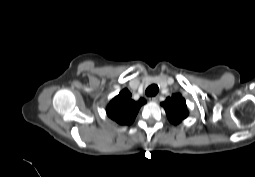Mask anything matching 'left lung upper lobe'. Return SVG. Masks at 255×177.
I'll return each mask as SVG.
<instances>
[{
    "label": "left lung upper lobe",
    "mask_w": 255,
    "mask_h": 177,
    "mask_svg": "<svg viewBox=\"0 0 255 177\" xmlns=\"http://www.w3.org/2000/svg\"><path fill=\"white\" fill-rule=\"evenodd\" d=\"M167 114L168 120L173 124H179L189 115L186 101L181 94H173L161 103Z\"/></svg>",
    "instance_id": "obj_1"
}]
</instances>
